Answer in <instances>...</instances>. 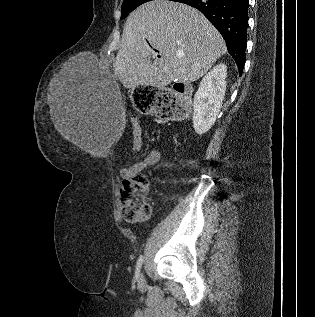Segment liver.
I'll return each mask as SVG.
<instances>
[{"instance_id": "1", "label": "liver", "mask_w": 315, "mask_h": 317, "mask_svg": "<svg viewBox=\"0 0 315 317\" xmlns=\"http://www.w3.org/2000/svg\"><path fill=\"white\" fill-rule=\"evenodd\" d=\"M226 51L221 34L198 10L153 0L128 16L114 70L125 88H163L174 80L187 84L202 77ZM152 56L156 57L153 63ZM73 102L71 90L62 82L50 100V116L64 138L84 147L81 119Z\"/></svg>"}]
</instances>
